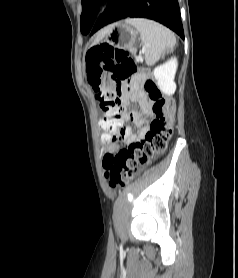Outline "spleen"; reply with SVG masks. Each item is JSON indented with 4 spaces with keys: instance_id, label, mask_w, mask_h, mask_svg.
<instances>
[{
    "instance_id": "spleen-1",
    "label": "spleen",
    "mask_w": 238,
    "mask_h": 278,
    "mask_svg": "<svg viewBox=\"0 0 238 278\" xmlns=\"http://www.w3.org/2000/svg\"><path fill=\"white\" fill-rule=\"evenodd\" d=\"M139 33L147 65H154L166 49H173L176 43L174 34L166 27L142 18L127 19Z\"/></svg>"
}]
</instances>
